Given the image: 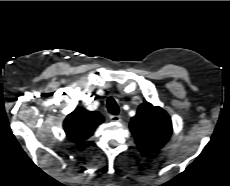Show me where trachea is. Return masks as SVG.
Returning <instances> with one entry per match:
<instances>
[{"mask_svg": "<svg viewBox=\"0 0 230 186\" xmlns=\"http://www.w3.org/2000/svg\"><path fill=\"white\" fill-rule=\"evenodd\" d=\"M107 109L108 111L112 114V115H118L119 113V107L115 101L114 98L109 97L107 99V103H106Z\"/></svg>", "mask_w": 230, "mask_h": 186, "instance_id": "obj_1", "label": "trachea"}]
</instances>
